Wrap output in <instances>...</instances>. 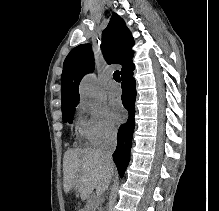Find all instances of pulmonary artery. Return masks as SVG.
Returning <instances> with one entry per match:
<instances>
[{
  "mask_svg": "<svg viewBox=\"0 0 219 211\" xmlns=\"http://www.w3.org/2000/svg\"><path fill=\"white\" fill-rule=\"evenodd\" d=\"M107 93L110 96H118L122 93L121 85L115 81L109 83L107 87Z\"/></svg>",
  "mask_w": 219,
  "mask_h": 211,
  "instance_id": "obj_1",
  "label": "pulmonary artery"
}]
</instances>
